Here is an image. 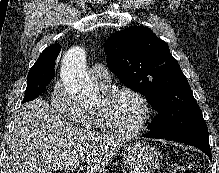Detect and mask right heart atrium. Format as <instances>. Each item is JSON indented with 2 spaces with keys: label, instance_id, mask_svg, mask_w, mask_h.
<instances>
[{
  "label": "right heart atrium",
  "instance_id": "1",
  "mask_svg": "<svg viewBox=\"0 0 219 173\" xmlns=\"http://www.w3.org/2000/svg\"><path fill=\"white\" fill-rule=\"evenodd\" d=\"M51 106L60 115L68 120L81 124L83 123V111L70 97L62 82L54 84L50 97Z\"/></svg>",
  "mask_w": 219,
  "mask_h": 173
}]
</instances>
